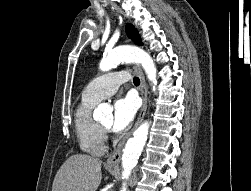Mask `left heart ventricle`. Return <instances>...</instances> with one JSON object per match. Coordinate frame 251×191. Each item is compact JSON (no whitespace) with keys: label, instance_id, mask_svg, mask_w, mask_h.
<instances>
[{"label":"left heart ventricle","instance_id":"left-heart-ventricle-1","mask_svg":"<svg viewBox=\"0 0 251 191\" xmlns=\"http://www.w3.org/2000/svg\"><path fill=\"white\" fill-rule=\"evenodd\" d=\"M109 123H110V117L107 118V119H105V120L102 122V124L105 125V126H108Z\"/></svg>","mask_w":251,"mask_h":191}]
</instances>
